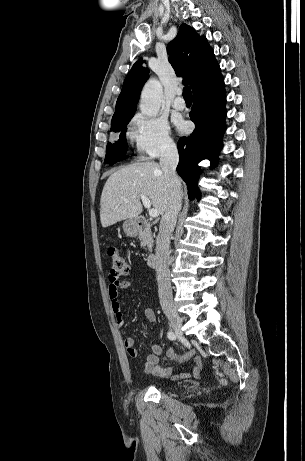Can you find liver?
Returning <instances> with one entry per match:
<instances>
[{"label": "liver", "mask_w": 305, "mask_h": 461, "mask_svg": "<svg viewBox=\"0 0 305 461\" xmlns=\"http://www.w3.org/2000/svg\"><path fill=\"white\" fill-rule=\"evenodd\" d=\"M179 188L182 190L181 181ZM140 194L149 198L160 215L164 214L169 204L170 188L158 163H133L120 168L108 178L100 200L102 227L136 219L142 212Z\"/></svg>", "instance_id": "6515ba94"}]
</instances>
